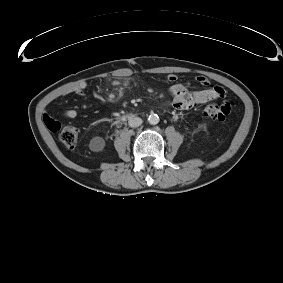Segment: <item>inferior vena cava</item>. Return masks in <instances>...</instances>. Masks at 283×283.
Masks as SVG:
<instances>
[{"mask_svg": "<svg viewBox=\"0 0 283 283\" xmlns=\"http://www.w3.org/2000/svg\"><path fill=\"white\" fill-rule=\"evenodd\" d=\"M142 119L140 117H131L128 121L129 123V126L132 127V128H136V127H139L141 124H142Z\"/></svg>", "mask_w": 283, "mask_h": 283, "instance_id": "inferior-vena-cava-1", "label": "inferior vena cava"}]
</instances>
